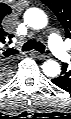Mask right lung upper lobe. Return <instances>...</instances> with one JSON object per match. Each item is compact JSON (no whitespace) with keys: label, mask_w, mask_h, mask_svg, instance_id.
<instances>
[{"label":"right lung upper lobe","mask_w":71,"mask_h":119,"mask_svg":"<svg viewBox=\"0 0 71 119\" xmlns=\"http://www.w3.org/2000/svg\"><path fill=\"white\" fill-rule=\"evenodd\" d=\"M2 11H3L2 15L5 16L11 13V8L7 5H4Z\"/></svg>","instance_id":"cb5924a9"}]
</instances>
